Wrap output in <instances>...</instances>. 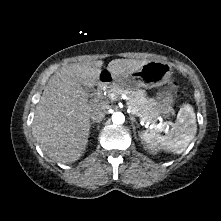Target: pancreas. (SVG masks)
<instances>
[{
    "label": "pancreas",
    "instance_id": "obj_1",
    "mask_svg": "<svg viewBox=\"0 0 221 221\" xmlns=\"http://www.w3.org/2000/svg\"><path fill=\"white\" fill-rule=\"evenodd\" d=\"M111 94H114L115 98L126 95L127 107L133 114L138 116L141 121L153 122L158 117V113L154 108L155 102L146 97L144 90L129 91L121 88L119 85H114L110 89L108 96ZM159 130H164V126Z\"/></svg>",
    "mask_w": 221,
    "mask_h": 221
}]
</instances>
